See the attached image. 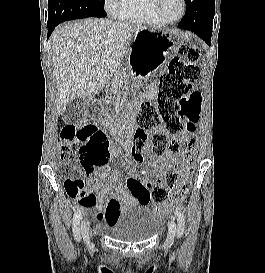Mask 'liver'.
<instances>
[{
    "mask_svg": "<svg viewBox=\"0 0 265 273\" xmlns=\"http://www.w3.org/2000/svg\"><path fill=\"white\" fill-rule=\"evenodd\" d=\"M142 28L139 23L88 18L64 23L54 31L51 40L58 114L70 101L91 97L110 83Z\"/></svg>",
    "mask_w": 265,
    "mask_h": 273,
    "instance_id": "6515ba94",
    "label": "liver"
}]
</instances>
